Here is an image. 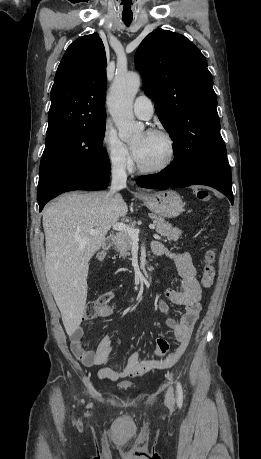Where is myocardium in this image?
<instances>
[{
  "label": "myocardium",
  "instance_id": "myocardium-1",
  "mask_svg": "<svg viewBox=\"0 0 261 459\" xmlns=\"http://www.w3.org/2000/svg\"><path fill=\"white\" fill-rule=\"evenodd\" d=\"M148 133L162 137L166 141L167 147H168L167 157L162 163H160L159 165L153 166V167H144V166H141L138 162L136 163V167H137V170L142 174H157V173L163 172L166 169H168L174 162L175 156H176L175 141L173 137L171 136V134L165 130L150 129Z\"/></svg>",
  "mask_w": 261,
  "mask_h": 459
}]
</instances>
